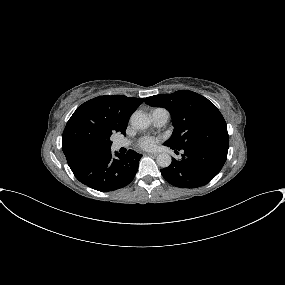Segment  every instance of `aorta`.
<instances>
[{
    "label": "aorta",
    "instance_id": "1",
    "mask_svg": "<svg viewBox=\"0 0 285 285\" xmlns=\"http://www.w3.org/2000/svg\"><path fill=\"white\" fill-rule=\"evenodd\" d=\"M130 122L138 130H145L150 126L149 117L141 111L134 112L130 118ZM156 162L160 167L166 168L171 164L172 159L169 154L161 153L157 156Z\"/></svg>",
    "mask_w": 285,
    "mask_h": 285
}]
</instances>
